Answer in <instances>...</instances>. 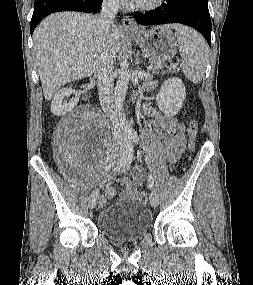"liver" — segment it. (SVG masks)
Listing matches in <instances>:
<instances>
[{
  "instance_id": "1",
  "label": "liver",
  "mask_w": 253,
  "mask_h": 285,
  "mask_svg": "<svg viewBox=\"0 0 253 285\" xmlns=\"http://www.w3.org/2000/svg\"><path fill=\"white\" fill-rule=\"evenodd\" d=\"M95 19L87 13H53L35 29V62L46 100H51L65 83L94 72L100 47ZM178 26L168 28L176 29ZM122 36V29L114 25L111 38L115 52L121 48Z\"/></svg>"
}]
</instances>
